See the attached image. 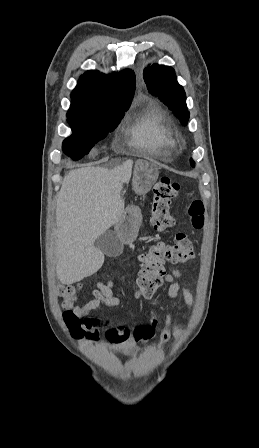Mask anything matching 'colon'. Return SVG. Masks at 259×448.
I'll return each mask as SVG.
<instances>
[{
  "label": "colon",
  "instance_id": "obj_1",
  "mask_svg": "<svg viewBox=\"0 0 259 448\" xmlns=\"http://www.w3.org/2000/svg\"><path fill=\"white\" fill-rule=\"evenodd\" d=\"M179 184L168 177L161 178L153 190L152 206L150 210L151 224L158 231H166L175 225L171 213L172 201L179 193ZM188 215L191 224L196 229L204 225V205L202 201L193 197L189 201ZM194 256L191 241L183 233H177L169 243H158L150 246L139 256L140 270L132 281L134 293L137 297L149 298L162 285L165 275V262L185 263ZM80 290L79 285L63 286L59 290L63 305L66 308L73 306ZM64 321L75 337L84 334L82 321L70 310L64 313Z\"/></svg>",
  "mask_w": 259,
  "mask_h": 448
}]
</instances>
